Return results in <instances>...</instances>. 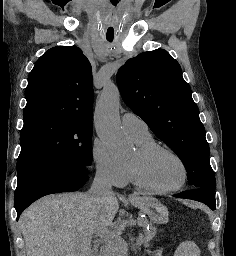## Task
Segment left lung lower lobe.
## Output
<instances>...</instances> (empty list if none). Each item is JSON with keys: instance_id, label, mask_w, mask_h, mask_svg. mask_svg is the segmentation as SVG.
Listing matches in <instances>:
<instances>
[{"instance_id": "0a47b994", "label": "left lung lower lobe", "mask_w": 236, "mask_h": 256, "mask_svg": "<svg viewBox=\"0 0 236 256\" xmlns=\"http://www.w3.org/2000/svg\"><path fill=\"white\" fill-rule=\"evenodd\" d=\"M214 191L215 190L199 188L195 190L181 192L173 196L177 198H187V199L196 200L206 204L211 210H215L216 206H215V195L213 194Z\"/></svg>"}]
</instances>
